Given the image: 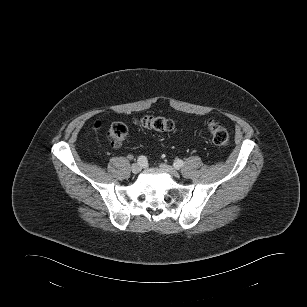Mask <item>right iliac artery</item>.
I'll return each mask as SVG.
<instances>
[{
	"instance_id": "right-iliac-artery-1",
	"label": "right iliac artery",
	"mask_w": 307,
	"mask_h": 307,
	"mask_svg": "<svg viewBox=\"0 0 307 307\" xmlns=\"http://www.w3.org/2000/svg\"><path fill=\"white\" fill-rule=\"evenodd\" d=\"M137 162L141 165H145L147 163V158L145 156L138 157Z\"/></svg>"
}]
</instances>
